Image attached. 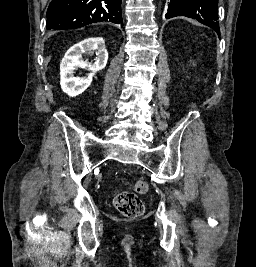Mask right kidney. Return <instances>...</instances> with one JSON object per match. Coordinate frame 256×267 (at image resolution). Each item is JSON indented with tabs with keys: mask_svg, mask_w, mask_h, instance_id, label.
I'll list each match as a JSON object with an SVG mask.
<instances>
[{
	"mask_svg": "<svg viewBox=\"0 0 256 267\" xmlns=\"http://www.w3.org/2000/svg\"><path fill=\"white\" fill-rule=\"evenodd\" d=\"M97 50L94 64L84 62L82 54H92ZM108 52L105 48L104 38H86L79 44H74L67 50L60 64V86L68 96H79L89 88L93 76L99 70H103L107 64ZM78 68H88L90 74H86L83 78H75V70Z\"/></svg>",
	"mask_w": 256,
	"mask_h": 267,
	"instance_id": "1",
	"label": "right kidney"
}]
</instances>
